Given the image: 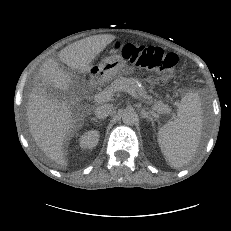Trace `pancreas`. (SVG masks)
<instances>
[{"mask_svg": "<svg viewBox=\"0 0 231 231\" xmlns=\"http://www.w3.org/2000/svg\"><path fill=\"white\" fill-rule=\"evenodd\" d=\"M121 86H129L135 92L138 93V95L143 98L147 104L151 105L152 109L157 111L160 114H168L171 109L168 105H165L162 101H153L152 97L147 95V92L144 88V86H139L136 83V80L134 78H129V77H123V76H118L114 79V81L106 87V90H113V91H118V88Z\"/></svg>", "mask_w": 231, "mask_h": 231, "instance_id": "obj_1", "label": "pancreas"}]
</instances>
